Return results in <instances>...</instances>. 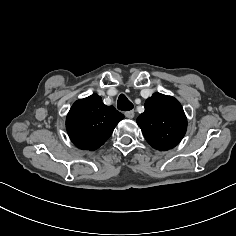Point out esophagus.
Returning a JSON list of instances; mask_svg holds the SVG:
<instances>
[{
    "instance_id": "esophagus-1",
    "label": "esophagus",
    "mask_w": 236,
    "mask_h": 236,
    "mask_svg": "<svg viewBox=\"0 0 236 236\" xmlns=\"http://www.w3.org/2000/svg\"><path fill=\"white\" fill-rule=\"evenodd\" d=\"M124 114H125V116H126L127 118H129V119L133 118L134 115H135V113H134L133 110L127 111V112H125Z\"/></svg>"
}]
</instances>
